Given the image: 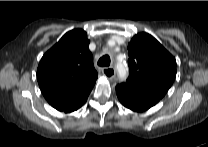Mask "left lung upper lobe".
Listing matches in <instances>:
<instances>
[{"label":"left lung upper lobe","instance_id":"5c2ea615","mask_svg":"<svg viewBox=\"0 0 208 147\" xmlns=\"http://www.w3.org/2000/svg\"><path fill=\"white\" fill-rule=\"evenodd\" d=\"M128 51L129 77L123 84L161 99L176 77L175 58L148 33L135 35Z\"/></svg>","mask_w":208,"mask_h":147}]
</instances>
